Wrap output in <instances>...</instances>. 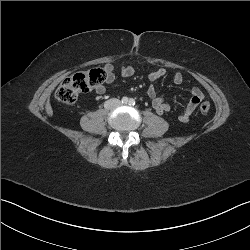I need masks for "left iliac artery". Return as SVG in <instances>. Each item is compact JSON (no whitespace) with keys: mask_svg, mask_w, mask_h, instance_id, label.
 <instances>
[{"mask_svg":"<svg viewBox=\"0 0 250 250\" xmlns=\"http://www.w3.org/2000/svg\"><path fill=\"white\" fill-rule=\"evenodd\" d=\"M129 105H135V100L134 99H130L129 100Z\"/></svg>","mask_w":250,"mask_h":250,"instance_id":"obj_1","label":"left iliac artery"}]
</instances>
